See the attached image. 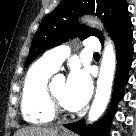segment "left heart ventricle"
<instances>
[{"label":"left heart ventricle","instance_id":"b2bd125f","mask_svg":"<svg viewBox=\"0 0 136 136\" xmlns=\"http://www.w3.org/2000/svg\"><path fill=\"white\" fill-rule=\"evenodd\" d=\"M51 87H52V91H53L54 95L63 104V106L66 107L64 104V101H63L65 87H66L65 83L64 82H57V83L52 84Z\"/></svg>","mask_w":136,"mask_h":136}]
</instances>
